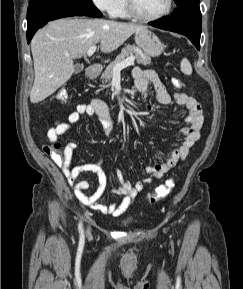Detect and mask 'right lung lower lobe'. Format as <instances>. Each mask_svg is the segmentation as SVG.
<instances>
[{"label":"right lung lower lobe","mask_w":243,"mask_h":289,"mask_svg":"<svg viewBox=\"0 0 243 289\" xmlns=\"http://www.w3.org/2000/svg\"><path fill=\"white\" fill-rule=\"evenodd\" d=\"M69 16L101 17L92 2L84 0H30L27 13V42L47 22Z\"/></svg>","instance_id":"right-lung-lower-lobe-1"}]
</instances>
